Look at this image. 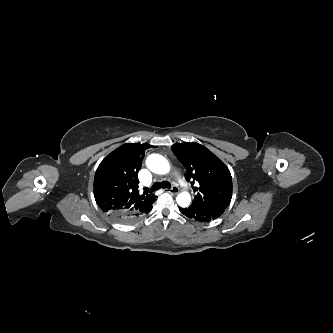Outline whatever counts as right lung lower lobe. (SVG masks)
Returning <instances> with one entry per match:
<instances>
[{
    "mask_svg": "<svg viewBox=\"0 0 333 333\" xmlns=\"http://www.w3.org/2000/svg\"><path fill=\"white\" fill-rule=\"evenodd\" d=\"M153 204V203H152ZM152 204L142 208L141 210L133 213H118L115 215H110L112 218L120 221V222H127L133 221L140 218L143 214L150 212L152 209Z\"/></svg>",
    "mask_w": 333,
    "mask_h": 333,
    "instance_id": "1",
    "label": "right lung lower lobe"
}]
</instances>
